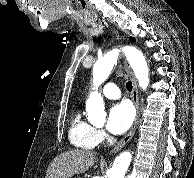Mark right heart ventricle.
Returning a JSON list of instances; mask_svg holds the SVG:
<instances>
[{
	"mask_svg": "<svg viewBox=\"0 0 194 178\" xmlns=\"http://www.w3.org/2000/svg\"><path fill=\"white\" fill-rule=\"evenodd\" d=\"M94 127L89 124L82 116L80 109H77L70 122L69 140L77 148L92 149L97 143L94 140Z\"/></svg>",
	"mask_w": 194,
	"mask_h": 178,
	"instance_id": "e07e8e85",
	"label": "right heart ventricle"
}]
</instances>
